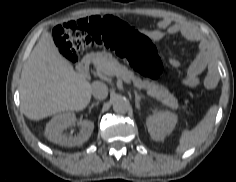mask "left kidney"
Returning a JSON list of instances; mask_svg holds the SVG:
<instances>
[{
    "label": "left kidney",
    "instance_id": "1",
    "mask_svg": "<svg viewBox=\"0 0 236 182\" xmlns=\"http://www.w3.org/2000/svg\"><path fill=\"white\" fill-rule=\"evenodd\" d=\"M177 123V115L170 111H155L146 120V125L151 138L162 141L169 135Z\"/></svg>",
    "mask_w": 236,
    "mask_h": 182
}]
</instances>
